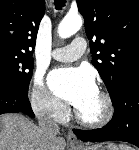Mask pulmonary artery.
<instances>
[{"instance_id": "e3ab8cb5", "label": "pulmonary artery", "mask_w": 139, "mask_h": 150, "mask_svg": "<svg viewBox=\"0 0 139 150\" xmlns=\"http://www.w3.org/2000/svg\"><path fill=\"white\" fill-rule=\"evenodd\" d=\"M86 49V41L82 37L75 38L68 46L54 49L52 57L57 61L72 62L82 56Z\"/></svg>"}]
</instances>
